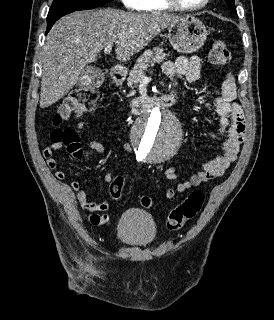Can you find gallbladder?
Instances as JSON below:
<instances>
[{
	"instance_id": "gallbladder-1",
	"label": "gallbladder",
	"mask_w": 274,
	"mask_h": 320,
	"mask_svg": "<svg viewBox=\"0 0 274 320\" xmlns=\"http://www.w3.org/2000/svg\"><path fill=\"white\" fill-rule=\"evenodd\" d=\"M105 68H83L80 78L76 82V86H80L81 90H96V85H102L105 80ZM83 76V78H82Z\"/></svg>"
}]
</instances>
